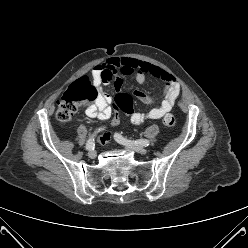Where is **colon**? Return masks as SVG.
I'll return each instance as SVG.
<instances>
[{"instance_id": "1", "label": "colon", "mask_w": 248, "mask_h": 248, "mask_svg": "<svg viewBox=\"0 0 248 248\" xmlns=\"http://www.w3.org/2000/svg\"><path fill=\"white\" fill-rule=\"evenodd\" d=\"M98 96L97 89L91 84L87 76H82L74 81L59 99L57 103L56 119L59 122H67L73 118L77 113L79 107L88 102H93ZM131 99L126 94H119L116 98V113L112 119L113 127L121 126V119L119 118L118 110H124L126 116H133L135 113L134 106L131 105ZM162 122L165 126H173L175 118L167 114L163 117ZM111 134L109 131L104 130L100 136L97 137V142L107 145L111 141Z\"/></svg>"}]
</instances>
